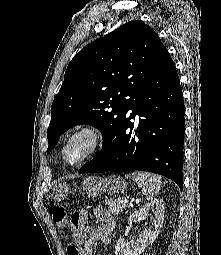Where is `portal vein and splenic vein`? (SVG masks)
<instances>
[{"instance_id":"18ae733b","label":"portal vein and splenic vein","mask_w":221,"mask_h":255,"mask_svg":"<svg viewBox=\"0 0 221 255\" xmlns=\"http://www.w3.org/2000/svg\"><path fill=\"white\" fill-rule=\"evenodd\" d=\"M125 203H128V200H124Z\"/></svg>"}]
</instances>
